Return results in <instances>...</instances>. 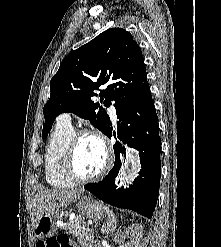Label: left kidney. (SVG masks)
Returning <instances> with one entry per match:
<instances>
[{
	"instance_id": "1",
	"label": "left kidney",
	"mask_w": 221,
	"mask_h": 247,
	"mask_svg": "<svg viewBox=\"0 0 221 247\" xmlns=\"http://www.w3.org/2000/svg\"><path fill=\"white\" fill-rule=\"evenodd\" d=\"M130 241L125 243V238ZM143 237V227L140 224H132L121 235L115 236L114 241L119 247H140Z\"/></svg>"
}]
</instances>
